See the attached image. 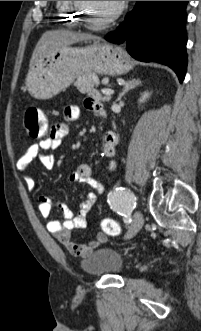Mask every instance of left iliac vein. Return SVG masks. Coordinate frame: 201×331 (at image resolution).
<instances>
[{
  "instance_id": "4c4485c4",
  "label": "left iliac vein",
  "mask_w": 201,
  "mask_h": 331,
  "mask_svg": "<svg viewBox=\"0 0 201 331\" xmlns=\"http://www.w3.org/2000/svg\"><path fill=\"white\" fill-rule=\"evenodd\" d=\"M143 222L144 219L142 213L140 211H136L133 215L132 224L125 235V239H130L134 237L142 228Z\"/></svg>"
}]
</instances>
